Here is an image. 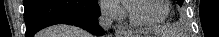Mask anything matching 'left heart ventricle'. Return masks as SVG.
<instances>
[{"label":"left heart ventricle","instance_id":"b2bd125f","mask_svg":"<svg viewBox=\"0 0 219 37\" xmlns=\"http://www.w3.org/2000/svg\"><path fill=\"white\" fill-rule=\"evenodd\" d=\"M164 11L162 0H142L132 3V12L139 20H156Z\"/></svg>","mask_w":219,"mask_h":37}]
</instances>
